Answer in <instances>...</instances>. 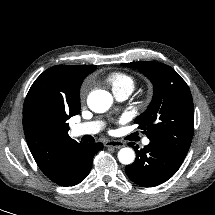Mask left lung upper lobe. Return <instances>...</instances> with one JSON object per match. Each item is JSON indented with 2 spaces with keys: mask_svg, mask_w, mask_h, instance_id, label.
<instances>
[{
  "mask_svg": "<svg viewBox=\"0 0 215 215\" xmlns=\"http://www.w3.org/2000/svg\"><path fill=\"white\" fill-rule=\"evenodd\" d=\"M141 71L154 86L147 110L135 119L150 141L186 156L194 132V107L190 89L170 66L157 62L122 64Z\"/></svg>",
  "mask_w": 215,
  "mask_h": 215,
  "instance_id": "1",
  "label": "left lung upper lobe"
}]
</instances>
